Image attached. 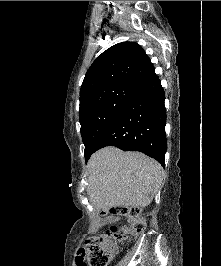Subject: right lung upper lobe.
<instances>
[{
	"label": "right lung upper lobe",
	"instance_id": "cb5924a9",
	"mask_svg": "<svg viewBox=\"0 0 221 266\" xmlns=\"http://www.w3.org/2000/svg\"><path fill=\"white\" fill-rule=\"evenodd\" d=\"M154 75L153 64L140 45L118 43L97 57L88 69L80 89V100L102 88L118 85L139 87Z\"/></svg>",
	"mask_w": 221,
	"mask_h": 266
}]
</instances>
